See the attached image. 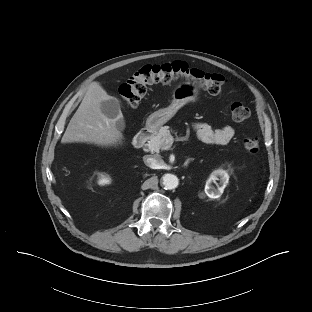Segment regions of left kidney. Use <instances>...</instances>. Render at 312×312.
<instances>
[{
  "instance_id": "5707ae66",
  "label": "left kidney",
  "mask_w": 312,
  "mask_h": 312,
  "mask_svg": "<svg viewBox=\"0 0 312 312\" xmlns=\"http://www.w3.org/2000/svg\"><path fill=\"white\" fill-rule=\"evenodd\" d=\"M217 179L220 180V183L222 186L217 187V189H215L214 186L212 185V182H215V180ZM228 180H229V176L226 173V171L222 169L215 170L213 172V177L206 181V185H205L206 195L213 199L219 198L222 195L223 190L226 184L228 183Z\"/></svg>"
}]
</instances>
